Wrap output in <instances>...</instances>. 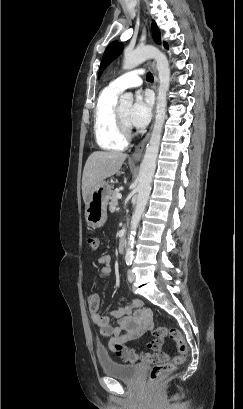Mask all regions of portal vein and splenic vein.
Segmentation results:
<instances>
[{
	"label": "portal vein and splenic vein",
	"instance_id": "1",
	"mask_svg": "<svg viewBox=\"0 0 243 409\" xmlns=\"http://www.w3.org/2000/svg\"><path fill=\"white\" fill-rule=\"evenodd\" d=\"M117 198H118V199H121V198H122V194H121V193H118V194H117Z\"/></svg>",
	"mask_w": 243,
	"mask_h": 409
}]
</instances>
